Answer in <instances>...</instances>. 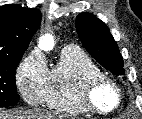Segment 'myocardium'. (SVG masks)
Segmentation results:
<instances>
[{
    "instance_id": "obj_1",
    "label": "myocardium",
    "mask_w": 142,
    "mask_h": 119,
    "mask_svg": "<svg viewBox=\"0 0 142 119\" xmlns=\"http://www.w3.org/2000/svg\"><path fill=\"white\" fill-rule=\"evenodd\" d=\"M103 89L112 91L115 101L109 108H103L98 100L97 94ZM80 99L84 106L91 112L98 114H110L114 112L121 103V92L118 86L108 77L101 75L89 78L80 90Z\"/></svg>"
}]
</instances>
